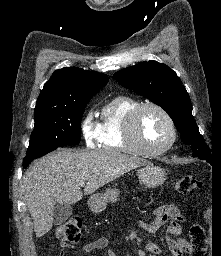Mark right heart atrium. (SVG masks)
Masks as SVG:
<instances>
[{
  "label": "right heart atrium",
  "mask_w": 221,
  "mask_h": 256,
  "mask_svg": "<svg viewBox=\"0 0 221 256\" xmlns=\"http://www.w3.org/2000/svg\"><path fill=\"white\" fill-rule=\"evenodd\" d=\"M81 133L87 146L94 147L100 143L101 126L95 121L92 111H89L83 118Z\"/></svg>",
  "instance_id": "1"
}]
</instances>
